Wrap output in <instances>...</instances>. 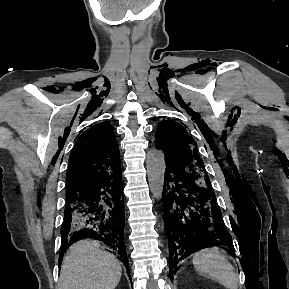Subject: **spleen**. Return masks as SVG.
<instances>
[{"mask_svg":"<svg viewBox=\"0 0 289 289\" xmlns=\"http://www.w3.org/2000/svg\"><path fill=\"white\" fill-rule=\"evenodd\" d=\"M192 262L200 275L211 278L226 289H238V276L234 267L219 248L198 251Z\"/></svg>","mask_w":289,"mask_h":289,"instance_id":"obj_1","label":"spleen"}]
</instances>
